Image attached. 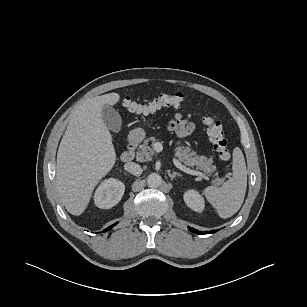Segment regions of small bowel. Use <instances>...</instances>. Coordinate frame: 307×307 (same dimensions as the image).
Returning a JSON list of instances; mask_svg holds the SVG:
<instances>
[{
	"label": "small bowel",
	"mask_w": 307,
	"mask_h": 307,
	"mask_svg": "<svg viewBox=\"0 0 307 307\" xmlns=\"http://www.w3.org/2000/svg\"><path fill=\"white\" fill-rule=\"evenodd\" d=\"M195 127V124L190 120V115L184 109L177 112L167 126L168 130L174 132L180 139L192 134Z\"/></svg>",
	"instance_id": "1"
}]
</instances>
